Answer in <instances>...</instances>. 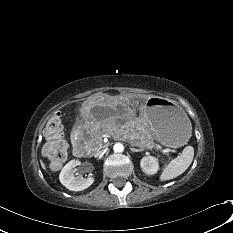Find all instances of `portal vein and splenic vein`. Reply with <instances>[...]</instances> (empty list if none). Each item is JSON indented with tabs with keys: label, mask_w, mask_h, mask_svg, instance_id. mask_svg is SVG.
Returning <instances> with one entry per match:
<instances>
[{
	"label": "portal vein and splenic vein",
	"mask_w": 233,
	"mask_h": 233,
	"mask_svg": "<svg viewBox=\"0 0 233 233\" xmlns=\"http://www.w3.org/2000/svg\"><path fill=\"white\" fill-rule=\"evenodd\" d=\"M161 152L164 153V154H167L168 150L164 149V150H161Z\"/></svg>",
	"instance_id": "obj_1"
}]
</instances>
